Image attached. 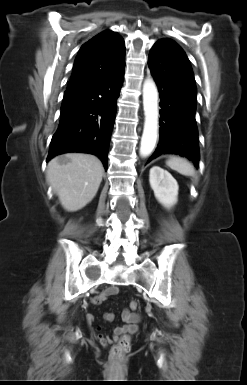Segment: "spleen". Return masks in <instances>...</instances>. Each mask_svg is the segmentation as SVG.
<instances>
[{"label":"spleen","instance_id":"3e777b00","mask_svg":"<svg viewBox=\"0 0 247 385\" xmlns=\"http://www.w3.org/2000/svg\"><path fill=\"white\" fill-rule=\"evenodd\" d=\"M166 164L172 170H175L182 175L193 176L195 174L194 166L184 158L173 156L166 161Z\"/></svg>","mask_w":247,"mask_h":385}]
</instances>
